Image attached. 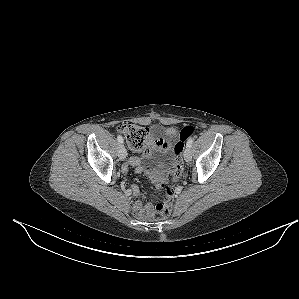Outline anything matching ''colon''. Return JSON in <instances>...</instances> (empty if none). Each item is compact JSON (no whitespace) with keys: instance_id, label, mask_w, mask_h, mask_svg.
Listing matches in <instances>:
<instances>
[{"instance_id":"1","label":"colon","mask_w":299,"mask_h":299,"mask_svg":"<svg viewBox=\"0 0 299 299\" xmlns=\"http://www.w3.org/2000/svg\"><path fill=\"white\" fill-rule=\"evenodd\" d=\"M118 131L122 133L131 150H141L145 145L149 130L146 127L135 124H123L118 127ZM195 132L193 126H185L180 133V141L174 146L175 162L171 176L170 183L164 185L165 196L163 200L156 206L155 211L152 213L154 218H163L170 214L174 202L173 185L176 184L181 178L183 172V159L182 151L184 142L191 137Z\"/></svg>"}]
</instances>
